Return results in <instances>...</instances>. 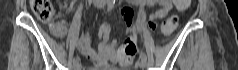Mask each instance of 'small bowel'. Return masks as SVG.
Returning <instances> with one entry per match:
<instances>
[{
	"mask_svg": "<svg viewBox=\"0 0 238 70\" xmlns=\"http://www.w3.org/2000/svg\"><path fill=\"white\" fill-rule=\"evenodd\" d=\"M144 2L149 6H159L154 13L150 14L149 20L151 22L156 19L166 17L172 9L173 4H175L174 0H146ZM177 8L180 9V7ZM121 14L123 15L127 25L128 33H133L136 29L133 22L134 11L131 8L126 7L121 9ZM55 29H57V32H55ZM52 30L57 37L64 38L67 34L66 21L59 20L55 22L52 25ZM110 33V25L106 22L102 23L99 30V43L97 51L91 48L89 35L86 31H84L76 41L79 52L93 64V66L87 70H106L111 65H115L119 61V59H115V54H118V45L115 40L109 41Z\"/></svg>",
	"mask_w": 238,
	"mask_h": 70,
	"instance_id": "obj_1",
	"label": "small bowel"
}]
</instances>
